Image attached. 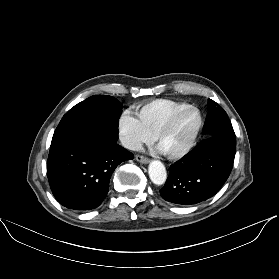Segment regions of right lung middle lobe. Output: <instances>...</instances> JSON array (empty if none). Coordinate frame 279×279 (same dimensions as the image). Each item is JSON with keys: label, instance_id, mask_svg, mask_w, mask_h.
<instances>
[{"label": "right lung middle lobe", "instance_id": "dd1d6c3e", "mask_svg": "<svg viewBox=\"0 0 279 279\" xmlns=\"http://www.w3.org/2000/svg\"><path fill=\"white\" fill-rule=\"evenodd\" d=\"M122 104L114 97L95 95L78 103L62 118L52 142L70 138L85 130L111 124L118 127Z\"/></svg>", "mask_w": 279, "mask_h": 279}]
</instances>
